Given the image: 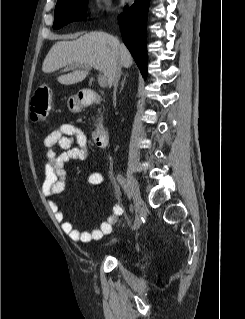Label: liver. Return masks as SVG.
Returning a JSON list of instances; mask_svg holds the SVG:
<instances>
[{
	"label": "liver",
	"instance_id": "1",
	"mask_svg": "<svg viewBox=\"0 0 245 319\" xmlns=\"http://www.w3.org/2000/svg\"><path fill=\"white\" fill-rule=\"evenodd\" d=\"M132 63L130 52L117 38L104 32H90L74 41L55 43L44 59L42 71L51 73L75 65L79 69L58 77L59 83L72 85L83 81L88 74L80 68L90 66L102 71L111 85L116 67L120 64L129 68Z\"/></svg>",
	"mask_w": 245,
	"mask_h": 319
}]
</instances>
